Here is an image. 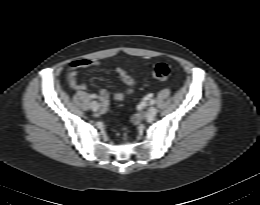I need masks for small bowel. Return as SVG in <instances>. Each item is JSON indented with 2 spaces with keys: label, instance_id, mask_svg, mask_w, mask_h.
Listing matches in <instances>:
<instances>
[{
  "label": "small bowel",
  "instance_id": "small-bowel-1",
  "mask_svg": "<svg viewBox=\"0 0 260 205\" xmlns=\"http://www.w3.org/2000/svg\"><path fill=\"white\" fill-rule=\"evenodd\" d=\"M97 65H98V62H96L95 60H91V59H78V60L71 62L69 64L68 70H67V82H68L69 87L75 91H85L86 85H85V83L79 81L78 71L81 69L94 68ZM116 73L119 76L122 84L125 86V89L115 91L113 94V99L115 101H122L132 93L133 86H134V80L122 68H117ZM97 97L104 106L108 105L109 92L106 89L99 90Z\"/></svg>",
  "mask_w": 260,
  "mask_h": 205
}]
</instances>
